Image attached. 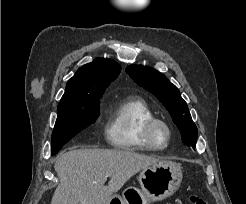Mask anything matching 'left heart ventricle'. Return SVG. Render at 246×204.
<instances>
[{"mask_svg": "<svg viewBox=\"0 0 246 204\" xmlns=\"http://www.w3.org/2000/svg\"><path fill=\"white\" fill-rule=\"evenodd\" d=\"M167 139V132L164 128L158 127L155 131V140L159 144H164Z\"/></svg>", "mask_w": 246, "mask_h": 204, "instance_id": "left-heart-ventricle-1", "label": "left heart ventricle"}]
</instances>
